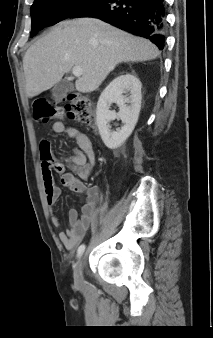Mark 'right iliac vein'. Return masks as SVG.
<instances>
[{"mask_svg": "<svg viewBox=\"0 0 213 338\" xmlns=\"http://www.w3.org/2000/svg\"><path fill=\"white\" fill-rule=\"evenodd\" d=\"M74 281L77 285L83 283V258H81L74 269Z\"/></svg>", "mask_w": 213, "mask_h": 338, "instance_id": "right-iliac-vein-1", "label": "right iliac vein"}]
</instances>
